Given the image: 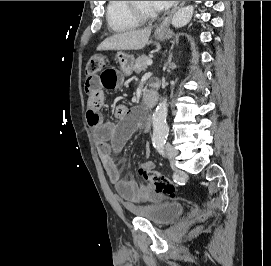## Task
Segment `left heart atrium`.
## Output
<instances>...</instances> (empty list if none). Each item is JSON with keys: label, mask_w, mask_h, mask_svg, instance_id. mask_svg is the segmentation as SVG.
I'll use <instances>...</instances> for the list:
<instances>
[{"label": "left heart atrium", "mask_w": 271, "mask_h": 266, "mask_svg": "<svg viewBox=\"0 0 271 266\" xmlns=\"http://www.w3.org/2000/svg\"><path fill=\"white\" fill-rule=\"evenodd\" d=\"M174 1H151V5L155 11H162L170 7Z\"/></svg>", "instance_id": "1"}]
</instances>
